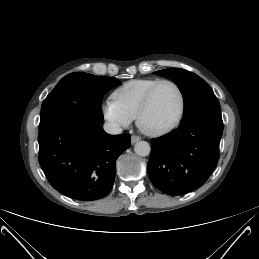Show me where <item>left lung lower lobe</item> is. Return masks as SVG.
Returning <instances> with one entry per match:
<instances>
[{"label": "left lung lower lobe", "mask_w": 259, "mask_h": 259, "mask_svg": "<svg viewBox=\"0 0 259 259\" xmlns=\"http://www.w3.org/2000/svg\"><path fill=\"white\" fill-rule=\"evenodd\" d=\"M221 116H200L152 139L148 175L162 193L184 195L201 187L219 159Z\"/></svg>", "instance_id": "1"}]
</instances>
